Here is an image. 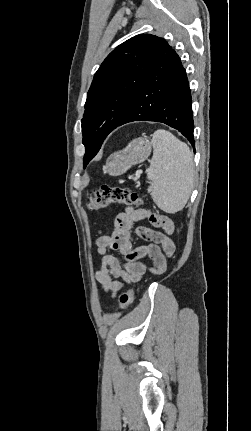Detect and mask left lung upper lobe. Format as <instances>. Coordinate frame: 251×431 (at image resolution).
<instances>
[{"label": "left lung upper lobe", "mask_w": 251, "mask_h": 431, "mask_svg": "<svg viewBox=\"0 0 251 431\" xmlns=\"http://www.w3.org/2000/svg\"><path fill=\"white\" fill-rule=\"evenodd\" d=\"M165 44L154 35H137L116 47L95 73L81 120L84 168L124 118Z\"/></svg>", "instance_id": "left-lung-upper-lobe-1"}]
</instances>
